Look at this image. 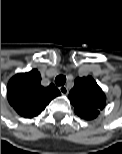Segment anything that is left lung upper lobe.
Segmentation results:
<instances>
[{"label":"left lung upper lobe","instance_id":"5c2ea615","mask_svg":"<svg viewBox=\"0 0 122 154\" xmlns=\"http://www.w3.org/2000/svg\"><path fill=\"white\" fill-rule=\"evenodd\" d=\"M75 113L83 119H94L105 107V94L91 76L77 78L69 93Z\"/></svg>","mask_w":122,"mask_h":154}]
</instances>
